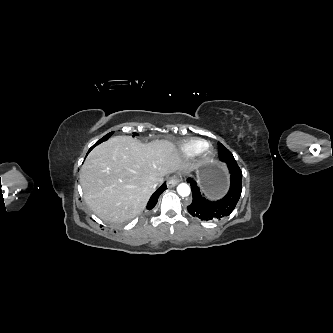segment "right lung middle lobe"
Returning a JSON list of instances; mask_svg holds the SVG:
<instances>
[{
  "label": "right lung middle lobe",
  "mask_w": 333,
  "mask_h": 333,
  "mask_svg": "<svg viewBox=\"0 0 333 333\" xmlns=\"http://www.w3.org/2000/svg\"><path fill=\"white\" fill-rule=\"evenodd\" d=\"M112 134H113V132L108 133L107 135H105V136L100 140L99 143H101V142L107 140ZM134 134L137 135V133H134ZM99 143H98V144H99Z\"/></svg>",
  "instance_id": "dd1d6c3e"
}]
</instances>
